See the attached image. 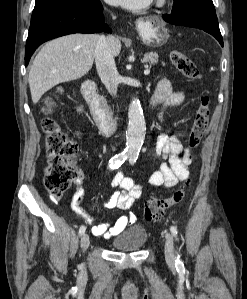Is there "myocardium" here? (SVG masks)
<instances>
[{"label":"myocardium","mask_w":247,"mask_h":299,"mask_svg":"<svg viewBox=\"0 0 247 299\" xmlns=\"http://www.w3.org/2000/svg\"><path fill=\"white\" fill-rule=\"evenodd\" d=\"M165 0H158V3L161 4L163 3Z\"/></svg>","instance_id":"myocardium-1"}]
</instances>
